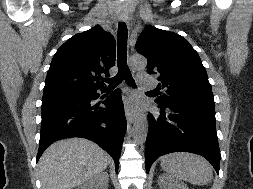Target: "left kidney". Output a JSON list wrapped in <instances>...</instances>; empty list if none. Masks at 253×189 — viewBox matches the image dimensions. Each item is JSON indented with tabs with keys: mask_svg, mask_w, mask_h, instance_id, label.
<instances>
[{
	"mask_svg": "<svg viewBox=\"0 0 253 189\" xmlns=\"http://www.w3.org/2000/svg\"><path fill=\"white\" fill-rule=\"evenodd\" d=\"M158 183L161 189H189L185 183L174 180L167 175L159 176Z\"/></svg>",
	"mask_w": 253,
	"mask_h": 189,
	"instance_id": "5707ae66",
	"label": "left kidney"
}]
</instances>
